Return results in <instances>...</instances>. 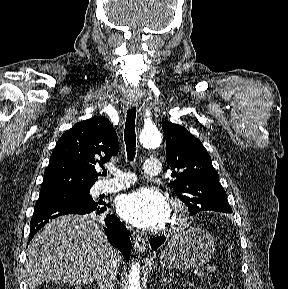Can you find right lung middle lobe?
<instances>
[{
	"instance_id": "dd1d6c3e",
	"label": "right lung middle lobe",
	"mask_w": 288,
	"mask_h": 289,
	"mask_svg": "<svg viewBox=\"0 0 288 289\" xmlns=\"http://www.w3.org/2000/svg\"><path fill=\"white\" fill-rule=\"evenodd\" d=\"M89 191L90 187L40 189L36 206L49 203H67L82 207H94L97 203L93 201Z\"/></svg>"
}]
</instances>
